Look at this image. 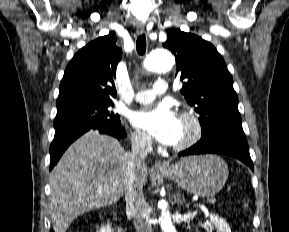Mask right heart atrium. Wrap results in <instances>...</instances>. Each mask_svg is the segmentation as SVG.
<instances>
[{
	"instance_id": "d8ad5b80",
	"label": "right heart atrium",
	"mask_w": 289,
	"mask_h": 232,
	"mask_svg": "<svg viewBox=\"0 0 289 232\" xmlns=\"http://www.w3.org/2000/svg\"><path fill=\"white\" fill-rule=\"evenodd\" d=\"M132 143L135 148L146 151L151 147L150 138L142 132L134 131L131 136Z\"/></svg>"
}]
</instances>
